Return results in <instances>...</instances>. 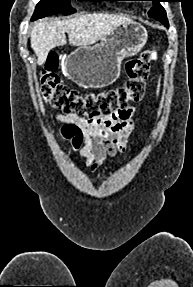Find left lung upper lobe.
Returning a JSON list of instances; mask_svg holds the SVG:
<instances>
[{
    "instance_id": "obj_1",
    "label": "left lung upper lobe",
    "mask_w": 193,
    "mask_h": 287,
    "mask_svg": "<svg viewBox=\"0 0 193 287\" xmlns=\"http://www.w3.org/2000/svg\"><path fill=\"white\" fill-rule=\"evenodd\" d=\"M153 2V6L148 11V16L160 21L166 27H168V20L164 8L161 6L160 2L164 0H150Z\"/></svg>"
}]
</instances>
